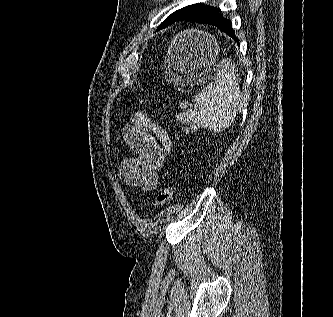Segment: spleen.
<instances>
[{"instance_id": "3e777b00", "label": "spleen", "mask_w": 333, "mask_h": 317, "mask_svg": "<svg viewBox=\"0 0 333 317\" xmlns=\"http://www.w3.org/2000/svg\"><path fill=\"white\" fill-rule=\"evenodd\" d=\"M234 71L235 67L229 61L222 62L211 83L193 97L197 108L176 118L193 129L202 127L213 132L227 129L233 123L240 103L241 92Z\"/></svg>"}]
</instances>
